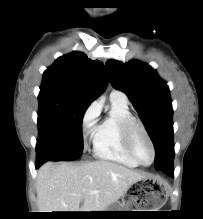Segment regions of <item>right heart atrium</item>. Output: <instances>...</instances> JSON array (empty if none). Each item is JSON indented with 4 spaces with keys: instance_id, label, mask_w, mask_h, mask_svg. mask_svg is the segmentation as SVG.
Here are the masks:
<instances>
[{
    "instance_id": "d8ad5b80",
    "label": "right heart atrium",
    "mask_w": 203,
    "mask_h": 219,
    "mask_svg": "<svg viewBox=\"0 0 203 219\" xmlns=\"http://www.w3.org/2000/svg\"><path fill=\"white\" fill-rule=\"evenodd\" d=\"M100 115V107L97 103H92L82 117V136L84 144L93 137L97 129V121Z\"/></svg>"
}]
</instances>
